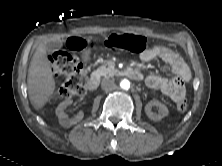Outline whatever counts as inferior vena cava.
I'll return each instance as SVG.
<instances>
[{"label": "inferior vena cava", "instance_id": "602c4592", "mask_svg": "<svg viewBox=\"0 0 222 166\" xmlns=\"http://www.w3.org/2000/svg\"><path fill=\"white\" fill-rule=\"evenodd\" d=\"M101 88L103 90H105V91H111V90H114L116 88V85H115L113 80H111V79H104L101 82Z\"/></svg>", "mask_w": 222, "mask_h": 166}]
</instances>
